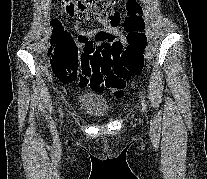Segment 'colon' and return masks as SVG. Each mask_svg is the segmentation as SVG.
Returning <instances> with one entry per match:
<instances>
[{"mask_svg": "<svg viewBox=\"0 0 207 179\" xmlns=\"http://www.w3.org/2000/svg\"><path fill=\"white\" fill-rule=\"evenodd\" d=\"M70 16L93 18L110 17L117 0H58ZM142 6L136 0L126 5L125 44L106 31L94 37L76 40L59 22L52 25L50 44L51 66L61 82L77 79L109 89L115 97L124 94L126 83L144 67L147 45Z\"/></svg>", "mask_w": 207, "mask_h": 179, "instance_id": "5ec220e1", "label": "colon"}]
</instances>
